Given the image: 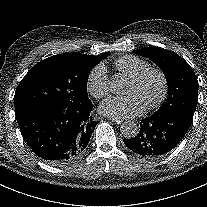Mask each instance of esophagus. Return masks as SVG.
<instances>
[{"label": "esophagus", "mask_w": 207, "mask_h": 207, "mask_svg": "<svg viewBox=\"0 0 207 207\" xmlns=\"http://www.w3.org/2000/svg\"><path fill=\"white\" fill-rule=\"evenodd\" d=\"M109 119L113 122H115V124L117 126H122L124 124V119L122 117H117V118H114V117H109Z\"/></svg>", "instance_id": "obj_1"}]
</instances>
